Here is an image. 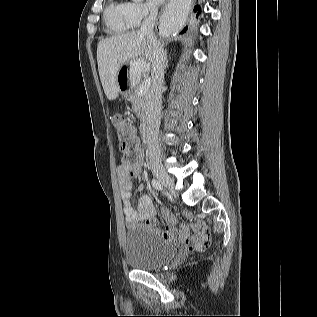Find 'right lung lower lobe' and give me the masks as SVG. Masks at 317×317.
<instances>
[{"label":"right lung lower lobe","mask_w":317,"mask_h":317,"mask_svg":"<svg viewBox=\"0 0 317 317\" xmlns=\"http://www.w3.org/2000/svg\"><path fill=\"white\" fill-rule=\"evenodd\" d=\"M196 10H198L200 12V7L198 5L195 6V8H194V11H196Z\"/></svg>","instance_id":"98d812e1"}]
</instances>
